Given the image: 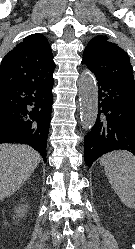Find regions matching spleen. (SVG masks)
Instances as JSON below:
<instances>
[{
  "label": "spleen",
  "instance_id": "obj_1",
  "mask_svg": "<svg viewBox=\"0 0 135 249\" xmlns=\"http://www.w3.org/2000/svg\"><path fill=\"white\" fill-rule=\"evenodd\" d=\"M100 164L121 202L135 209V156L127 151H116L103 156Z\"/></svg>",
  "mask_w": 135,
  "mask_h": 249
}]
</instances>
